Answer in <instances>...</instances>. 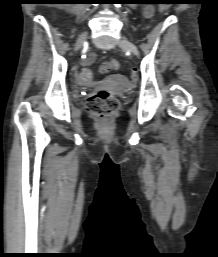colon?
I'll use <instances>...</instances> for the list:
<instances>
[{"label":"colon","instance_id":"obj_1","mask_svg":"<svg viewBox=\"0 0 218 257\" xmlns=\"http://www.w3.org/2000/svg\"><path fill=\"white\" fill-rule=\"evenodd\" d=\"M170 2H161L159 6V15H163L170 9ZM119 63L116 60H109L101 65L100 70L108 75H117ZM78 85H88V87H99L97 81L96 70H91L90 67L78 68ZM131 81H137V75H131ZM88 111L100 120L104 125H108L111 119L118 113L120 102L118 98L111 92L101 89L94 92L87 100Z\"/></svg>","mask_w":218,"mask_h":257}]
</instances>
